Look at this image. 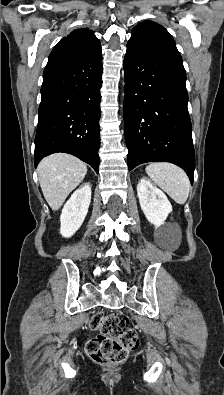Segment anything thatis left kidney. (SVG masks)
Masks as SVG:
<instances>
[{"instance_id": "1", "label": "left kidney", "mask_w": 224, "mask_h": 395, "mask_svg": "<svg viewBox=\"0 0 224 395\" xmlns=\"http://www.w3.org/2000/svg\"><path fill=\"white\" fill-rule=\"evenodd\" d=\"M137 194L147 220L156 228L163 225L168 214L172 212V205L167 196L146 177L139 181Z\"/></svg>"}]
</instances>
